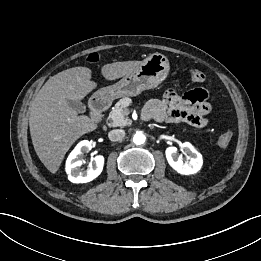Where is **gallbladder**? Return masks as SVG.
<instances>
[{
  "mask_svg": "<svg viewBox=\"0 0 261 261\" xmlns=\"http://www.w3.org/2000/svg\"><path fill=\"white\" fill-rule=\"evenodd\" d=\"M69 107L78 113H84L86 111V106L80 101L67 100Z\"/></svg>",
  "mask_w": 261,
  "mask_h": 261,
  "instance_id": "obj_1",
  "label": "gallbladder"
}]
</instances>
